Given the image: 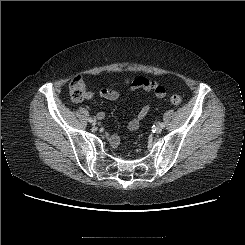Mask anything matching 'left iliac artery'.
Masks as SVG:
<instances>
[{"label":"left iliac artery","mask_w":245,"mask_h":245,"mask_svg":"<svg viewBox=\"0 0 245 245\" xmlns=\"http://www.w3.org/2000/svg\"><path fill=\"white\" fill-rule=\"evenodd\" d=\"M160 126H161L162 128H164V127H165V124H164V123H160Z\"/></svg>","instance_id":"obj_1"}]
</instances>
